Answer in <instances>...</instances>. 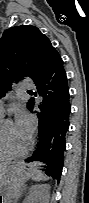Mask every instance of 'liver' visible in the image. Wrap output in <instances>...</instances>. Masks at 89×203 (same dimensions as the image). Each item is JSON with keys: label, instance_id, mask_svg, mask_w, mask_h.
<instances>
[{"label": "liver", "instance_id": "6515ba94", "mask_svg": "<svg viewBox=\"0 0 89 203\" xmlns=\"http://www.w3.org/2000/svg\"><path fill=\"white\" fill-rule=\"evenodd\" d=\"M6 168H7L6 164L1 165V167H0L1 181H2V178H3L4 174H5V172H6Z\"/></svg>", "mask_w": 89, "mask_h": 203}]
</instances>
